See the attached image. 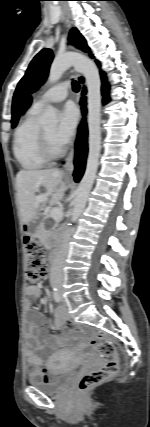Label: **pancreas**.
I'll return each mask as SVG.
<instances>
[{
	"mask_svg": "<svg viewBox=\"0 0 150 427\" xmlns=\"http://www.w3.org/2000/svg\"><path fill=\"white\" fill-rule=\"evenodd\" d=\"M54 225H55V226H57V225H58V222H55V224H54ZM38 237H39L42 241L46 240V239L49 237V234H48V232H46V230L44 229V227H41V228H40L39 233H38Z\"/></svg>",
	"mask_w": 150,
	"mask_h": 427,
	"instance_id": "obj_1",
	"label": "pancreas"
}]
</instances>
